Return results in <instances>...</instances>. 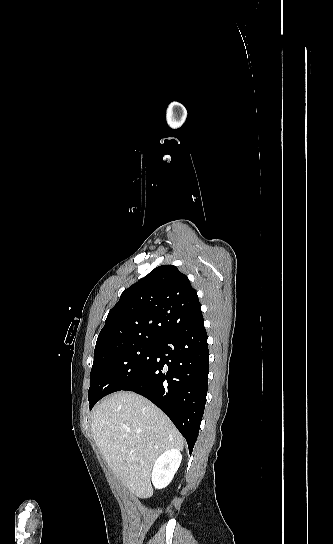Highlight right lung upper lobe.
<instances>
[{
  "label": "right lung upper lobe",
  "instance_id": "right-lung-upper-lobe-1",
  "mask_svg": "<svg viewBox=\"0 0 333 544\" xmlns=\"http://www.w3.org/2000/svg\"><path fill=\"white\" fill-rule=\"evenodd\" d=\"M202 316L197 292L173 265H162L126 289L109 311L94 355L138 340H159Z\"/></svg>",
  "mask_w": 333,
  "mask_h": 544
}]
</instances>
